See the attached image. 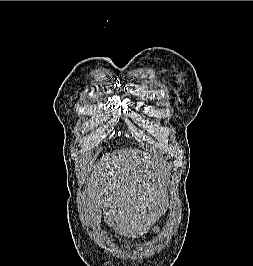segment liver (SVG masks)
Wrapping results in <instances>:
<instances>
[{
    "instance_id": "6515ba94",
    "label": "liver",
    "mask_w": 253,
    "mask_h": 266,
    "mask_svg": "<svg viewBox=\"0 0 253 266\" xmlns=\"http://www.w3.org/2000/svg\"><path fill=\"white\" fill-rule=\"evenodd\" d=\"M141 155V156H140ZM165 162L136 149L103 156L88 180V216L99 227L102 210L116 233L136 238L151 225L150 204L158 197L153 179L159 178Z\"/></svg>"
}]
</instances>
